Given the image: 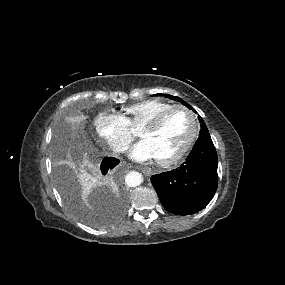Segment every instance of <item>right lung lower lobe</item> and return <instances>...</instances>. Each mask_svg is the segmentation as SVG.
<instances>
[{
  "label": "right lung lower lobe",
  "instance_id": "obj_1",
  "mask_svg": "<svg viewBox=\"0 0 285 285\" xmlns=\"http://www.w3.org/2000/svg\"><path fill=\"white\" fill-rule=\"evenodd\" d=\"M120 161L116 158H113V157H108V158H105L103 161H102V164L100 166V170L102 172L103 175H106L107 173H110V171L116 166L118 165ZM121 203L122 205L124 206L125 203H126V198L124 196H121Z\"/></svg>",
  "mask_w": 285,
  "mask_h": 285
}]
</instances>
